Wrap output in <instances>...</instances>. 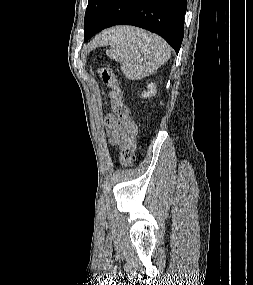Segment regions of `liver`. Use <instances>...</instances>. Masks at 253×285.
I'll return each instance as SVG.
<instances>
[{"label":"liver","mask_w":253,"mask_h":285,"mask_svg":"<svg viewBox=\"0 0 253 285\" xmlns=\"http://www.w3.org/2000/svg\"><path fill=\"white\" fill-rule=\"evenodd\" d=\"M122 28H123V27H121V28H114V29H112V30H110V31L105 32L102 36H100V37L98 38L97 43H102V41L106 38V36L112 35V34L118 32V30H120V29H122Z\"/></svg>","instance_id":"1"}]
</instances>
